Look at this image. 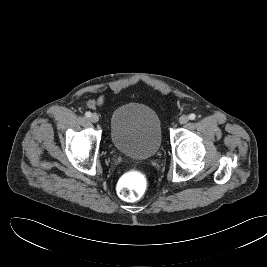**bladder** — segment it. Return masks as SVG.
<instances>
[{"mask_svg":"<svg viewBox=\"0 0 267 267\" xmlns=\"http://www.w3.org/2000/svg\"><path fill=\"white\" fill-rule=\"evenodd\" d=\"M109 135L118 152L136 159L152 158L162 144L161 122L157 113L138 102L124 103L113 111Z\"/></svg>","mask_w":267,"mask_h":267,"instance_id":"bladder-1","label":"bladder"}]
</instances>
